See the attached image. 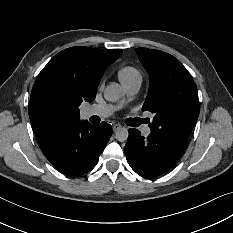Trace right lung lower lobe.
Returning a JSON list of instances; mask_svg holds the SVG:
<instances>
[{"label":"right lung lower lobe","mask_w":233,"mask_h":233,"mask_svg":"<svg viewBox=\"0 0 233 233\" xmlns=\"http://www.w3.org/2000/svg\"><path fill=\"white\" fill-rule=\"evenodd\" d=\"M112 135L106 122L92 125L87 121H67L36 134L44 156L59 171L80 176L98 163Z\"/></svg>","instance_id":"98d812e1"}]
</instances>
